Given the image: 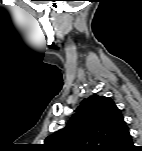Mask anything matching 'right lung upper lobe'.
I'll return each mask as SVG.
<instances>
[{
  "label": "right lung upper lobe",
  "instance_id": "obj_1",
  "mask_svg": "<svg viewBox=\"0 0 142 151\" xmlns=\"http://www.w3.org/2000/svg\"><path fill=\"white\" fill-rule=\"evenodd\" d=\"M131 140L114 101L92 95L76 109L66 127L45 139L49 151H118Z\"/></svg>",
  "mask_w": 142,
  "mask_h": 151
}]
</instances>
